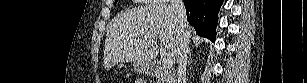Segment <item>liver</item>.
<instances>
[{"instance_id": "liver-1", "label": "liver", "mask_w": 307, "mask_h": 83, "mask_svg": "<svg viewBox=\"0 0 307 83\" xmlns=\"http://www.w3.org/2000/svg\"><path fill=\"white\" fill-rule=\"evenodd\" d=\"M193 29L188 28L191 36ZM179 45L177 16L171 6L155 4L116 17L107 32L104 66L134 62L146 70L158 56L176 60Z\"/></svg>"}]
</instances>
